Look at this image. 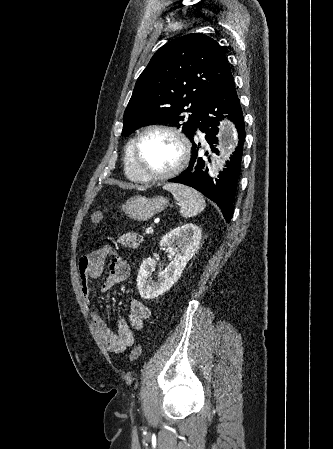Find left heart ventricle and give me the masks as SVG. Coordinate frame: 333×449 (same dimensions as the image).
Segmentation results:
<instances>
[{"mask_svg": "<svg viewBox=\"0 0 333 449\" xmlns=\"http://www.w3.org/2000/svg\"><path fill=\"white\" fill-rule=\"evenodd\" d=\"M180 158V146L170 135L154 131L140 145V165L145 173L160 174L172 169Z\"/></svg>", "mask_w": 333, "mask_h": 449, "instance_id": "left-heart-ventricle-1", "label": "left heart ventricle"}]
</instances>
